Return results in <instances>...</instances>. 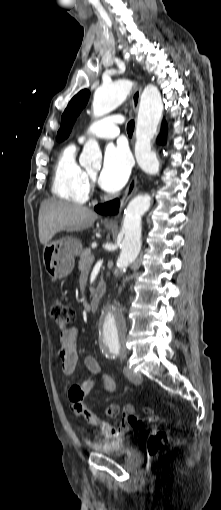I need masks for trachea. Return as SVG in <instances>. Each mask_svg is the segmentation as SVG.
<instances>
[{
	"instance_id": "trachea-1",
	"label": "trachea",
	"mask_w": 221,
	"mask_h": 510,
	"mask_svg": "<svg viewBox=\"0 0 221 510\" xmlns=\"http://www.w3.org/2000/svg\"><path fill=\"white\" fill-rule=\"evenodd\" d=\"M134 131V121L131 120L127 125V132L129 135H132Z\"/></svg>"
}]
</instances>
